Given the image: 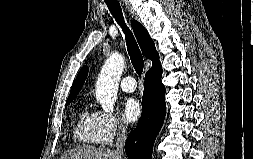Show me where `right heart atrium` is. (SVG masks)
<instances>
[{"instance_id":"right-heart-atrium-1","label":"right heart atrium","mask_w":253,"mask_h":159,"mask_svg":"<svg viewBox=\"0 0 253 159\" xmlns=\"http://www.w3.org/2000/svg\"><path fill=\"white\" fill-rule=\"evenodd\" d=\"M98 118L101 130V143L104 145L111 144L127 130L126 125L116 114L99 112Z\"/></svg>"}]
</instances>
